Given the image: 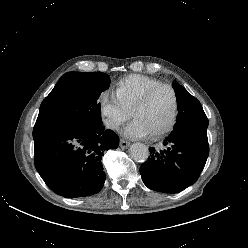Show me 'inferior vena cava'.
Here are the masks:
<instances>
[{
    "mask_svg": "<svg viewBox=\"0 0 248 248\" xmlns=\"http://www.w3.org/2000/svg\"><path fill=\"white\" fill-rule=\"evenodd\" d=\"M106 126L109 128H112V129H117V127H118L116 123L110 122V121L106 122Z\"/></svg>",
    "mask_w": 248,
    "mask_h": 248,
    "instance_id": "inferior-vena-cava-1",
    "label": "inferior vena cava"
}]
</instances>
